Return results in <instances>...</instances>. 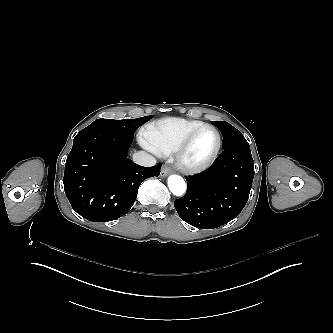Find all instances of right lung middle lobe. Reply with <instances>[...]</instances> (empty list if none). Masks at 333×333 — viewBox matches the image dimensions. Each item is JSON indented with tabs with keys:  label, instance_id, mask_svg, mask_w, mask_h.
<instances>
[{
	"label": "right lung middle lobe",
	"instance_id": "dd1d6c3e",
	"mask_svg": "<svg viewBox=\"0 0 333 333\" xmlns=\"http://www.w3.org/2000/svg\"><path fill=\"white\" fill-rule=\"evenodd\" d=\"M151 118L152 116L124 120L97 119L88 127H86L85 130L100 128L108 131L134 136V132L137 130V128Z\"/></svg>",
	"mask_w": 333,
	"mask_h": 333
}]
</instances>
